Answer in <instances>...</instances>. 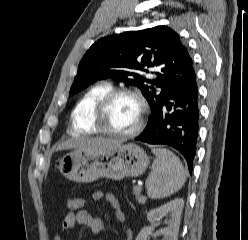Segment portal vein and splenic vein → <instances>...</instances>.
Wrapping results in <instances>:
<instances>
[{
	"instance_id": "1",
	"label": "portal vein and splenic vein",
	"mask_w": 248,
	"mask_h": 240,
	"mask_svg": "<svg viewBox=\"0 0 248 240\" xmlns=\"http://www.w3.org/2000/svg\"><path fill=\"white\" fill-rule=\"evenodd\" d=\"M136 187L141 189V187H140V186H136Z\"/></svg>"
}]
</instances>
